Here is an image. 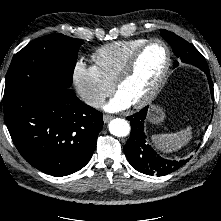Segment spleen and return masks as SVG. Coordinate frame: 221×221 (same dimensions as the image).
I'll return each instance as SVG.
<instances>
[{
	"instance_id": "obj_1",
	"label": "spleen",
	"mask_w": 221,
	"mask_h": 221,
	"mask_svg": "<svg viewBox=\"0 0 221 221\" xmlns=\"http://www.w3.org/2000/svg\"><path fill=\"white\" fill-rule=\"evenodd\" d=\"M151 139L162 151L173 152L182 148L192 139V127L188 126L175 133L153 135Z\"/></svg>"
}]
</instances>
